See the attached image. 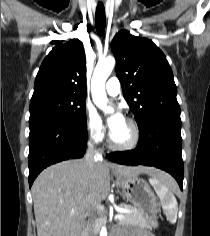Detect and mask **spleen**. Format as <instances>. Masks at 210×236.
<instances>
[{
  "label": "spleen",
  "mask_w": 210,
  "mask_h": 236,
  "mask_svg": "<svg viewBox=\"0 0 210 236\" xmlns=\"http://www.w3.org/2000/svg\"><path fill=\"white\" fill-rule=\"evenodd\" d=\"M149 181L160 198L161 206L167 219L170 223L174 224L177 220L178 204L172 192L173 180L170 181L162 177H151Z\"/></svg>",
  "instance_id": "1"
}]
</instances>
